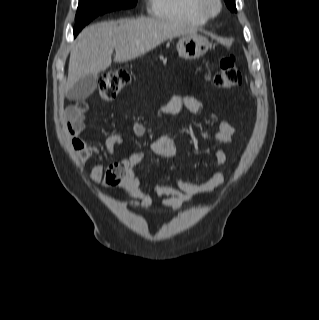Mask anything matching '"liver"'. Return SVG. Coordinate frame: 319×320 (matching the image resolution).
<instances>
[{
    "mask_svg": "<svg viewBox=\"0 0 319 320\" xmlns=\"http://www.w3.org/2000/svg\"><path fill=\"white\" fill-rule=\"evenodd\" d=\"M196 30L164 19L140 18L105 21L81 31L70 53L68 92L82 77L97 75L112 63L146 54L169 38L195 34Z\"/></svg>",
    "mask_w": 319,
    "mask_h": 320,
    "instance_id": "6515ba94",
    "label": "liver"
}]
</instances>
